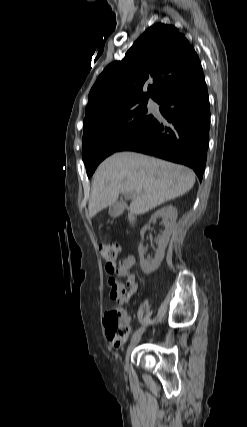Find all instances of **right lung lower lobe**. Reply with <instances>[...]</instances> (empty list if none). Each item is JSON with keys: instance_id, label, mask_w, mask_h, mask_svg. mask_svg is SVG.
Returning <instances> with one entry per match:
<instances>
[{"instance_id": "1", "label": "right lung lower lobe", "mask_w": 247, "mask_h": 427, "mask_svg": "<svg viewBox=\"0 0 247 427\" xmlns=\"http://www.w3.org/2000/svg\"><path fill=\"white\" fill-rule=\"evenodd\" d=\"M164 120L153 117L119 151H136L189 166L203 178L209 145L210 109L203 72L158 102Z\"/></svg>"}]
</instances>
